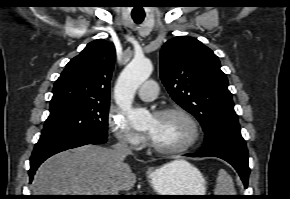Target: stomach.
<instances>
[{
    "instance_id": "obj_1",
    "label": "stomach",
    "mask_w": 290,
    "mask_h": 199,
    "mask_svg": "<svg viewBox=\"0 0 290 199\" xmlns=\"http://www.w3.org/2000/svg\"><path fill=\"white\" fill-rule=\"evenodd\" d=\"M176 166L165 164L152 169L147 178L158 195H205L206 181L201 172L184 160ZM168 198L197 199L198 196H173Z\"/></svg>"
}]
</instances>
